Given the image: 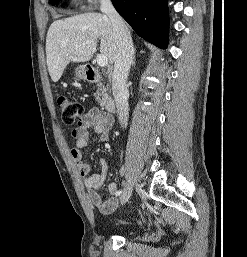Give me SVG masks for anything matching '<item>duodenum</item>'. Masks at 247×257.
<instances>
[{"instance_id": "obj_1", "label": "duodenum", "mask_w": 247, "mask_h": 257, "mask_svg": "<svg viewBox=\"0 0 247 257\" xmlns=\"http://www.w3.org/2000/svg\"><path fill=\"white\" fill-rule=\"evenodd\" d=\"M85 79L88 82H99L102 79L101 73L92 66H86L84 70ZM105 111L113 113L116 109L115 100L112 97H106L103 101Z\"/></svg>"}]
</instances>
